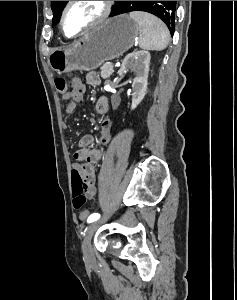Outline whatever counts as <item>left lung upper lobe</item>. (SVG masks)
<instances>
[{"label":"left lung upper lobe","instance_id":"5c2ea615","mask_svg":"<svg viewBox=\"0 0 237 300\" xmlns=\"http://www.w3.org/2000/svg\"><path fill=\"white\" fill-rule=\"evenodd\" d=\"M68 1H51L53 11L52 26L57 24L60 19V13ZM131 11H145L156 15L162 19L169 28L171 35L175 27L176 1H115V15Z\"/></svg>","mask_w":237,"mask_h":300}]
</instances>
